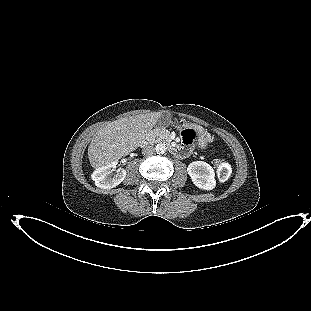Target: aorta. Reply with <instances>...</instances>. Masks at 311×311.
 <instances>
[{
  "label": "aorta",
  "mask_w": 311,
  "mask_h": 311,
  "mask_svg": "<svg viewBox=\"0 0 311 311\" xmlns=\"http://www.w3.org/2000/svg\"><path fill=\"white\" fill-rule=\"evenodd\" d=\"M166 150H167V147L163 143H159L155 147V151L157 154H164L166 152Z\"/></svg>",
  "instance_id": "obj_1"
}]
</instances>
